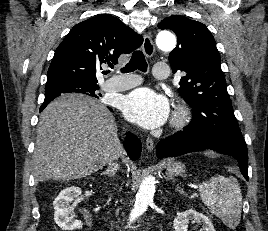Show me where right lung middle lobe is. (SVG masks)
<instances>
[{"label": "right lung middle lobe", "mask_w": 268, "mask_h": 231, "mask_svg": "<svg viewBox=\"0 0 268 231\" xmlns=\"http://www.w3.org/2000/svg\"><path fill=\"white\" fill-rule=\"evenodd\" d=\"M99 89L97 84H84L73 81H59L48 84L45 87V99H51L60 96L63 93H81L92 97H97L95 91Z\"/></svg>", "instance_id": "right-lung-middle-lobe-1"}]
</instances>
